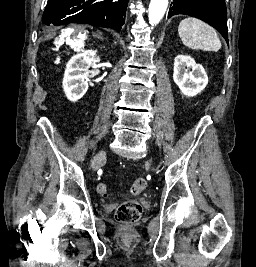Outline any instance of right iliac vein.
Returning <instances> with one entry per match:
<instances>
[{
	"label": "right iliac vein",
	"mask_w": 256,
	"mask_h": 267,
	"mask_svg": "<svg viewBox=\"0 0 256 267\" xmlns=\"http://www.w3.org/2000/svg\"><path fill=\"white\" fill-rule=\"evenodd\" d=\"M105 155H106V151L101 150L99 153H97L93 157V159H92V169L93 170H97L100 167L102 161L104 160Z\"/></svg>",
	"instance_id": "1"
}]
</instances>
